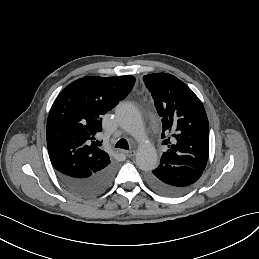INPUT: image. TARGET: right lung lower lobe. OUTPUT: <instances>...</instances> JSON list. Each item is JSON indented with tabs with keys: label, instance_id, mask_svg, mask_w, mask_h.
<instances>
[{
	"label": "right lung lower lobe",
	"instance_id": "98d812e1",
	"mask_svg": "<svg viewBox=\"0 0 259 259\" xmlns=\"http://www.w3.org/2000/svg\"><path fill=\"white\" fill-rule=\"evenodd\" d=\"M114 173L113 164L87 178H75L56 171L63 185L72 193L82 197L97 196L106 191L113 180Z\"/></svg>",
	"mask_w": 259,
	"mask_h": 259
}]
</instances>
